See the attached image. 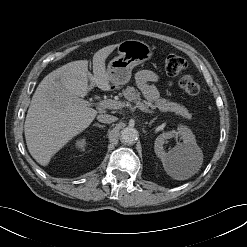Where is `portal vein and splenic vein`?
<instances>
[{
    "label": "portal vein and splenic vein",
    "mask_w": 247,
    "mask_h": 247,
    "mask_svg": "<svg viewBox=\"0 0 247 247\" xmlns=\"http://www.w3.org/2000/svg\"><path fill=\"white\" fill-rule=\"evenodd\" d=\"M98 106L101 108H107V109H121L125 106V103L120 102V101H116V100L108 99V100H101L100 102H98ZM136 107H138L143 112L152 113V111L147 109L144 106V104H142L140 102L136 103Z\"/></svg>",
    "instance_id": "obj_1"
}]
</instances>
